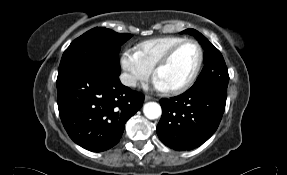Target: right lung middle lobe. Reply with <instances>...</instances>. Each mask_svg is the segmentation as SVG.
I'll return each instance as SVG.
<instances>
[{"label": "right lung middle lobe", "instance_id": "obj_1", "mask_svg": "<svg viewBox=\"0 0 287 175\" xmlns=\"http://www.w3.org/2000/svg\"><path fill=\"white\" fill-rule=\"evenodd\" d=\"M132 37L96 27L75 39L63 53L58 76L76 69H93L119 76L121 45Z\"/></svg>", "mask_w": 287, "mask_h": 175}]
</instances>
